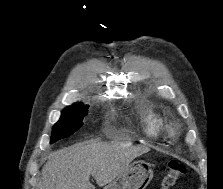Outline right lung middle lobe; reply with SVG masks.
I'll return each mask as SVG.
<instances>
[{
	"label": "right lung middle lobe",
	"mask_w": 223,
	"mask_h": 189,
	"mask_svg": "<svg viewBox=\"0 0 223 189\" xmlns=\"http://www.w3.org/2000/svg\"><path fill=\"white\" fill-rule=\"evenodd\" d=\"M88 105L74 103L62 111L59 121L54 125L50 143L65 138L76 132L83 125Z\"/></svg>",
	"instance_id": "dd1d6c3e"
}]
</instances>
